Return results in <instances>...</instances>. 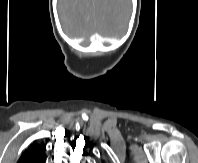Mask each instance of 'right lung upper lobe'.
Wrapping results in <instances>:
<instances>
[{"instance_id": "obj_1", "label": "right lung upper lobe", "mask_w": 198, "mask_h": 163, "mask_svg": "<svg viewBox=\"0 0 198 163\" xmlns=\"http://www.w3.org/2000/svg\"><path fill=\"white\" fill-rule=\"evenodd\" d=\"M17 163H45V148L39 144H32Z\"/></svg>"}]
</instances>
